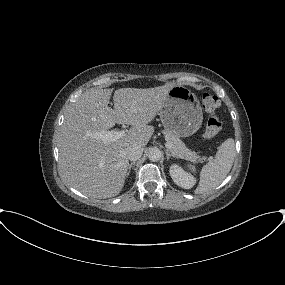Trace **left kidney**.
<instances>
[{"instance_id":"1","label":"left kidney","mask_w":285,"mask_h":285,"mask_svg":"<svg viewBox=\"0 0 285 285\" xmlns=\"http://www.w3.org/2000/svg\"><path fill=\"white\" fill-rule=\"evenodd\" d=\"M170 176L174 183L184 189H191L195 183L196 178L191 174L185 172L179 165L172 164L170 166Z\"/></svg>"}]
</instances>
